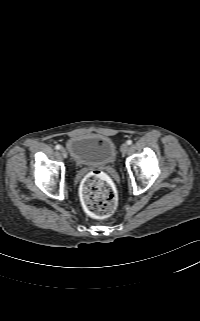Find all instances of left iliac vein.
<instances>
[{"label":"left iliac vein","mask_w":200,"mask_h":321,"mask_svg":"<svg viewBox=\"0 0 200 321\" xmlns=\"http://www.w3.org/2000/svg\"><path fill=\"white\" fill-rule=\"evenodd\" d=\"M128 149H129L128 144L124 143L121 145V152L122 153H124V154L127 153Z\"/></svg>","instance_id":"obj_1"}]
</instances>
